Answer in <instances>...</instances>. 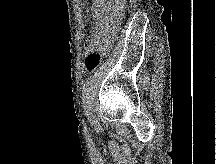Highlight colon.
<instances>
[{
    "mask_svg": "<svg viewBox=\"0 0 216 164\" xmlns=\"http://www.w3.org/2000/svg\"><path fill=\"white\" fill-rule=\"evenodd\" d=\"M102 54L98 51H89L84 59L83 68L86 72H94L100 65Z\"/></svg>",
    "mask_w": 216,
    "mask_h": 164,
    "instance_id": "colon-1",
    "label": "colon"
}]
</instances>
